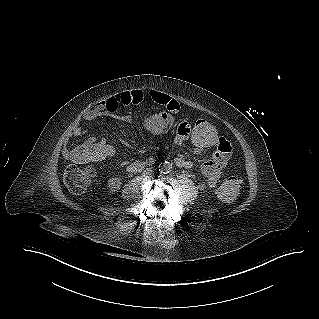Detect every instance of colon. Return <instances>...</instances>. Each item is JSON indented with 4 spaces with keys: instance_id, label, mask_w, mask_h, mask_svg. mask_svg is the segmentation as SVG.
<instances>
[{
    "instance_id": "obj_1",
    "label": "colon",
    "mask_w": 319,
    "mask_h": 319,
    "mask_svg": "<svg viewBox=\"0 0 319 319\" xmlns=\"http://www.w3.org/2000/svg\"><path fill=\"white\" fill-rule=\"evenodd\" d=\"M192 134L186 135L188 143L204 152H212L219 149L216 140L222 138L220 130L210 121L202 120L190 124ZM173 127L171 117L162 111L150 113L145 120L137 125L126 124L121 129V136L126 141H133L137 136L148 138H162L167 136ZM177 131V130H176ZM228 142V141H227ZM230 148L231 145L228 142ZM68 156L75 164L67 167L63 174V181L67 189L73 194H82L86 191L93 176L92 163L100 159L99 150L96 147L79 145L71 151ZM242 180L232 176L227 178L218 189L219 198L225 203L233 202L239 194Z\"/></svg>"
}]
</instances>
